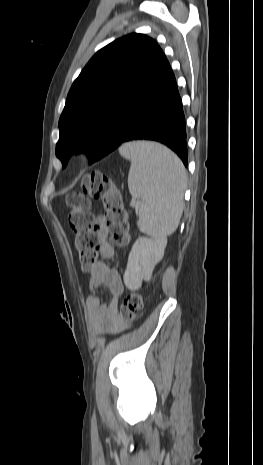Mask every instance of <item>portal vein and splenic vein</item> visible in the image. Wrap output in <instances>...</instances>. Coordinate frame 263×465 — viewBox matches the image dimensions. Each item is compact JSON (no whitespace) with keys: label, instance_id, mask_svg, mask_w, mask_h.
I'll return each instance as SVG.
<instances>
[{"label":"portal vein and splenic vein","instance_id":"obj_1","mask_svg":"<svg viewBox=\"0 0 263 465\" xmlns=\"http://www.w3.org/2000/svg\"><path fill=\"white\" fill-rule=\"evenodd\" d=\"M134 205H135V207H139L140 203H135Z\"/></svg>","mask_w":263,"mask_h":465}]
</instances>
